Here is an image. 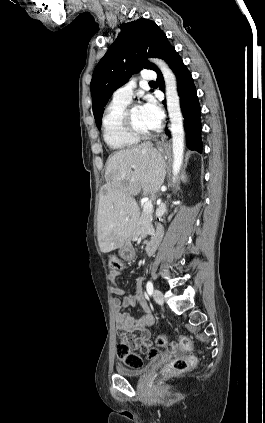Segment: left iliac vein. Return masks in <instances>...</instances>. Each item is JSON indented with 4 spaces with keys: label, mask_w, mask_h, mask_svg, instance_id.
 Wrapping results in <instances>:
<instances>
[{
    "label": "left iliac vein",
    "mask_w": 265,
    "mask_h": 423,
    "mask_svg": "<svg viewBox=\"0 0 265 423\" xmlns=\"http://www.w3.org/2000/svg\"><path fill=\"white\" fill-rule=\"evenodd\" d=\"M153 298H154V300H155V302L157 304L163 305V303H164V297H163V294H162V292L160 290H158V289L154 290V292H153Z\"/></svg>",
    "instance_id": "4c4485c4"
}]
</instances>
